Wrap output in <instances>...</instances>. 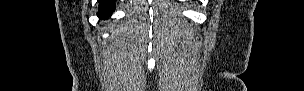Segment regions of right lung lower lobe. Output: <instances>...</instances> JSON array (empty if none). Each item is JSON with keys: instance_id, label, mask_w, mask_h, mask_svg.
Returning <instances> with one entry per match:
<instances>
[{"instance_id": "obj_1", "label": "right lung lower lobe", "mask_w": 304, "mask_h": 91, "mask_svg": "<svg viewBox=\"0 0 304 91\" xmlns=\"http://www.w3.org/2000/svg\"><path fill=\"white\" fill-rule=\"evenodd\" d=\"M115 9V4L112 0H99V9L97 15L101 19L108 18Z\"/></svg>"}]
</instances>
